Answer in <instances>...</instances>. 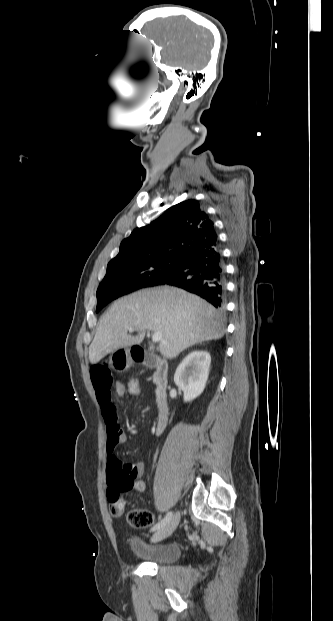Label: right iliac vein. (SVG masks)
Instances as JSON below:
<instances>
[{
  "mask_svg": "<svg viewBox=\"0 0 333 621\" xmlns=\"http://www.w3.org/2000/svg\"><path fill=\"white\" fill-rule=\"evenodd\" d=\"M180 520V513L176 512L175 515L171 518V520L164 525L162 528L157 530L152 536V541H161L167 537H169L174 530L176 529Z\"/></svg>",
  "mask_w": 333,
  "mask_h": 621,
  "instance_id": "1",
  "label": "right iliac vein"
}]
</instances>
